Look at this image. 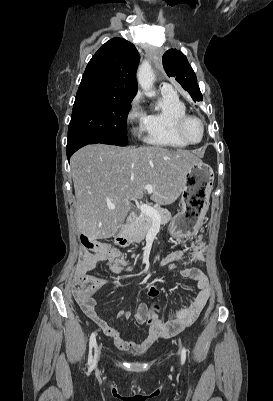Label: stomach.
Here are the masks:
<instances>
[{"label":"stomach","instance_id":"stomach-1","mask_svg":"<svg viewBox=\"0 0 273 401\" xmlns=\"http://www.w3.org/2000/svg\"><path fill=\"white\" fill-rule=\"evenodd\" d=\"M214 184V170L205 162H195L185 170L181 192V213L173 217L169 233L174 239L193 237L203 225L209 209V198Z\"/></svg>","mask_w":273,"mask_h":401}]
</instances>
